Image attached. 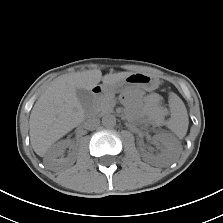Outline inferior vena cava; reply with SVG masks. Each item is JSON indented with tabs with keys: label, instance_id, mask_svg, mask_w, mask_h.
<instances>
[{
	"label": "inferior vena cava",
	"instance_id": "602c4592",
	"mask_svg": "<svg viewBox=\"0 0 223 223\" xmlns=\"http://www.w3.org/2000/svg\"><path fill=\"white\" fill-rule=\"evenodd\" d=\"M99 124H100L99 118L90 117L85 121L84 126L88 130H93V129L97 128L99 126Z\"/></svg>",
	"mask_w": 223,
	"mask_h": 223
}]
</instances>
